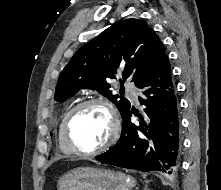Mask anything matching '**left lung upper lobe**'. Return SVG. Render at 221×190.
<instances>
[{"mask_svg": "<svg viewBox=\"0 0 221 190\" xmlns=\"http://www.w3.org/2000/svg\"><path fill=\"white\" fill-rule=\"evenodd\" d=\"M165 55L160 38L144 21L123 20L74 54L58 78L54 100L64 101L80 89H95L112 101L123 116L130 102L113 95L108 82L120 75L136 86Z\"/></svg>", "mask_w": 221, "mask_h": 190, "instance_id": "5c2ea615", "label": "left lung upper lobe"}]
</instances>
